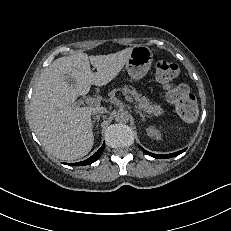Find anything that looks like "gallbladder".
<instances>
[{
	"mask_svg": "<svg viewBox=\"0 0 231 231\" xmlns=\"http://www.w3.org/2000/svg\"><path fill=\"white\" fill-rule=\"evenodd\" d=\"M65 81L68 85H70L71 88L77 87V81L73 78L71 73L65 74Z\"/></svg>",
	"mask_w": 231,
	"mask_h": 231,
	"instance_id": "obj_1",
	"label": "gallbladder"
}]
</instances>
